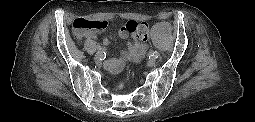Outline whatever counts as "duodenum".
Listing matches in <instances>:
<instances>
[{
  "mask_svg": "<svg viewBox=\"0 0 255 122\" xmlns=\"http://www.w3.org/2000/svg\"><path fill=\"white\" fill-rule=\"evenodd\" d=\"M82 39H84V38H82ZM85 40H91V39H89V38H86Z\"/></svg>",
  "mask_w": 255,
  "mask_h": 122,
  "instance_id": "obj_1",
  "label": "duodenum"
}]
</instances>
